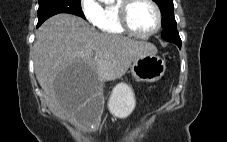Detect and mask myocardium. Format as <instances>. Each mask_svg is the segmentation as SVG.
Masks as SVG:
<instances>
[{"instance_id": "1", "label": "myocardium", "mask_w": 227, "mask_h": 142, "mask_svg": "<svg viewBox=\"0 0 227 142\" xmlns=\"http://www.w3.org/2000/svg\"><path fill=\"white\" fill-rule=\"evenodd\" d=\"M155 10L157 15V24L156 27L148 33H139L137 32L130 23V9L136 0H121V3L118 6V18L121 27L129 34L138 37V38H150L153 35L157 34L162 27V11L159 5L154 0H146Z\"/></svg>"}]
</instances>
